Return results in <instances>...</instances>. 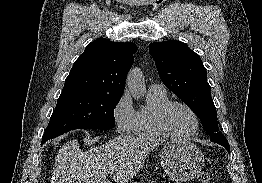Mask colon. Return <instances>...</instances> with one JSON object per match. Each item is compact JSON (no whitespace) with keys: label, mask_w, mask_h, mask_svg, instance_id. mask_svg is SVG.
<instances>
[{"label":"colon","mask_w":262,"mask_h":183,"mask_svg":"<svg viewBox=\"0 0 262 183\" xmlns=\"http://www.w3.org/2000/svg\"><path fill=\"white\" fill-rule=\"evenodd\" d=\"M211 180V173L208 170H204L199 173L198 181L201 183H208Z\"/></svg>","instance_id":"colon-1"}]
</instances>
